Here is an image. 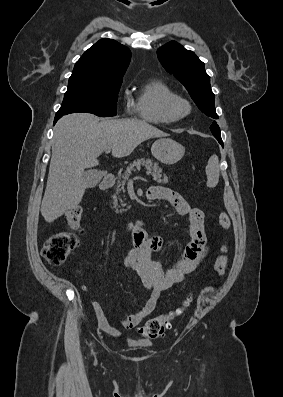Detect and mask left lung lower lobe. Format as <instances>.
<instances>
[{"instance_id": "0a47b994", "label": "left lung lower lobe", "mask_w": 283, "mask_h": 397, "mask_svg": "<svg viewBox=\"0 0 283 397\" xmlns=\"http://www.w3.org/2000/svg\"><path fill=\"white\" fill-rule=\"evenodd\" d=\"M217 140H218V142L222 145V147H223V141H222V139H221V136H214Z\"/></svg>"}]
</instances>
